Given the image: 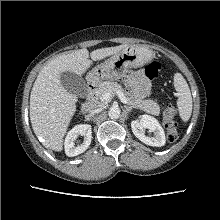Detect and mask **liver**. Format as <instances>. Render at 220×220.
Wrapping results in <instances>:
<instances>
[{
    "instance_id": "liver-1",
    "label": "liver",
    "mask_w": 220,
    "mask_h": 220,
    "mask_svg": "<svg viewBox=\"0 0 220 220\" xmlns=\"http://www.w3.org/2000/svg\"><path fill=\"white\" fill-rule=\"evenodd\" d=\"M126 44L101 48L90 53L92 61L120 52ZM87 49L75 50L50 61L38 74L30 95V121L37 137L45 140V147L61 151L63 138L77 109L78 97L61 83L63 72L84 74L92 65Z\"/></svg>"
}]
</instances>
